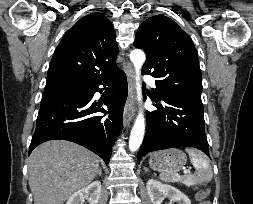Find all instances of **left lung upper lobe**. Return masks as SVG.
Wrapping results in <instances>:
<instances>
[{
	"mask_svg": "<svg viewBox=\"0 0 253 204\" xmlns=\"http://www.w3.org/2000/svg\"><path fill=\"white\" fill-rule=\"evenodd\" d=\"M134 46L147 55L142 72L157 78L158 99L201 97L197 51L189 35L172 19L157 15L144 21L136 33Z\"/></svg>",
	"mask_w": 253,
	"mask_h": 204,
	"instance_id": "obj_1",
	"label": "left lung upper lobe"
}]
</instances>
